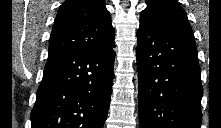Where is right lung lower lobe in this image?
<instances>
[{
	"instance_id": "right-lung-lower-lobe-1",
	"label": "right lung lower lobe",
	"mask_w": 221,
	"mask_h": 128,
	"mask_svg": "<svg viewBox=\"0 0 221 128\" xmlns=\"http://www.w3.org/2000/svg\"><path fill=\"white\" fill-rule=\"evenodd\" d=\"M114 40L106 47L50 56L31 128H103L111 100Z\"/></svg>"
}]
</instances>
